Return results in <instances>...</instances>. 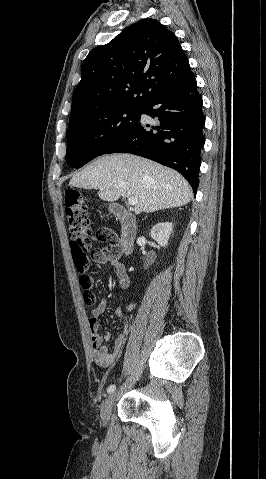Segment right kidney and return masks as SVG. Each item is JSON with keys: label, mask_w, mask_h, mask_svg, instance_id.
Instances as JSON below:
<instances>
[{"label": "right kidney", "mask_w": 266, "mask_h": 479, "mask_svg": "<svg viewBox=\"0 0 266 479\" xmlns=\"http://www.w3.org/2000/svg\"><path fill=\"white\" fill-rule=\"evenodd\" d=\"M172 232V223L160 222L153 226L150 235L162 247H166L170 234Z\"/></svg>", "instance_id": "1"}]
</instances>
